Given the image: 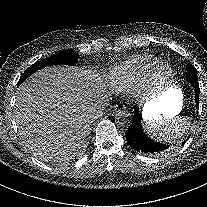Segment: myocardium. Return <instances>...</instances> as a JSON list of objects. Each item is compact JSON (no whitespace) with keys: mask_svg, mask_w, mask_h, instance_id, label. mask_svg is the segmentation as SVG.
Masks as SVG:
<instances>
[{"mask_svg":"<svg viewBox=\"0 0 207 207\" xmlns=\"http://www.w3.org/2000/svg\"><path fill=\"white\" fill-rule=\"evenodd\" d=\"M173 76V68L168 62H162L156 66L150 75V82L156 86H163L169 83Z\"/></svg>","mask_w":207,"mask_h":207,"instance_id":"obj_1","label":"myocardium"}]
</instances>
